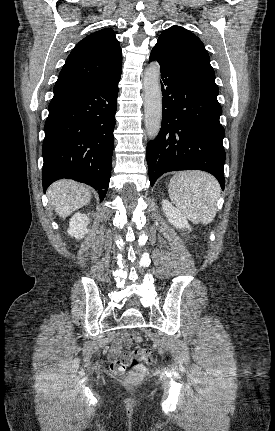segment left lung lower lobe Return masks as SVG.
<instances>
[{"instance_id": "left-lung-lower-lobe-1", "label": "left lung lower lobe", "mask_w": 275, "mask_h": 431, "mask_svg": "<svg viewBox=\"0 0 275 431\" xmlns=\"http://www.w3.org/2000/svg\"><path fill=\"white\" fill-rule=\"evenodd\" d=\"M154 60L161 67L163 118L158 137L147 145L150 185L165 172L203 170L214 175L224 189L221 106L152 49L150 61Z\"/></svg>"}]
</instances>
